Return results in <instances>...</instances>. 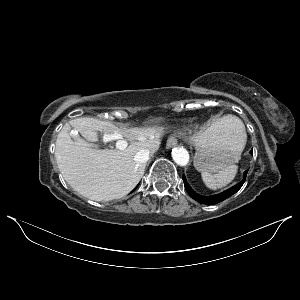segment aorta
<instances>
[{"label":"aorta","mask_w":300,"mask_h":300,"mask_svg":"<svg viewBox=\"0 0 300 300\" xmlns=\"http://www.w3.org/2000/svg\"><path fill=\"white\" fill-rule=\"evenodd\" d=\"M172 158L179 166H185L189 162V153L183 147H175L172 150Z\"/></svg>","instance_id":"762f6f07"}]
</instances>
